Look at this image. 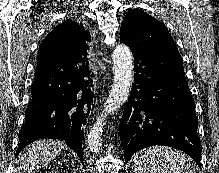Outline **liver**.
<instances>
[{"label":"liver","mask_w":219,"mask_h":173,"mask_svg":"<svg viewBox=\"0 0 219 173\" xmlns=\"http://www.w3.org/2000/svg\"><path fill=\"white\" fill-rule=\"evenodd\" d=\"M66 145L57 140H39L27 146L18 156L15 173H35L49 165Z\"/></svg>","instance_id":"6515ba94"}]
</instances>
